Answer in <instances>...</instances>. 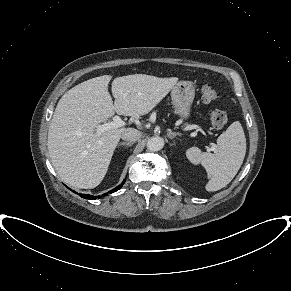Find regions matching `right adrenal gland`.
<instances>
[{"instance_id": "1", "label": "right adrenal gland", "mask_w": 291, "mask_h": 291, "mask_svg": "<svg viewBox=\"0 0 291 291\" xmlns=\"http://www.w3.org/2000/svg\"><path fill=\"white\" fill-rule=\"evenodd\" d=\"M121 145H124V146L129 147V146H132L133 143H130V142H121V143H119V146H121Z\"/></svg>"}]
</instances>
